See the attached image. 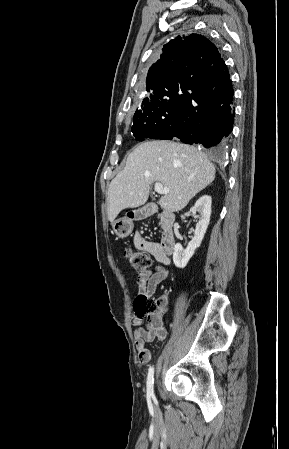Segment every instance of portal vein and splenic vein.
Wrapping results in <instances>:
<instances>
[{"label":"portal vein and splenic vein","mask_w":289,"mask_h":449,"mask_svg":"<svg viewBox=\"0 0 289 449\" xmlns=\"http://www.w3.org/2000/svg\"><path fill=\"white\" fill-rule=\"evenodd\" d=\"M154 190L159 194H167L169 192V189L166 187H163L161 183H155Z\"/></svg>","instance_id":"obj_1"}]
</instances>
